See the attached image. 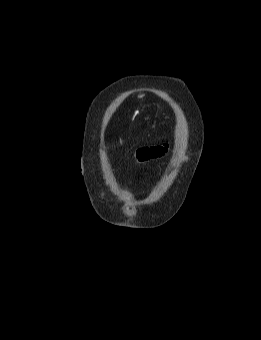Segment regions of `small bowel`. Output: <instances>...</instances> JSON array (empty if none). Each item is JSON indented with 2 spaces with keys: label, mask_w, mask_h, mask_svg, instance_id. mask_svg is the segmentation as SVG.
I'll return each instance as SVG.
<instances>
[{
  "label": "small bowel",
  "mask_w": 261,
  "mask_h": 340,
  "mask_svg": "<svg viewBox=\"0 0 261 340\" xmlns=\"http://www.w3.org/2000/svg\"><path fill=\"white\" fill-rule=\"evenodd\" d=\"M168 145H156L140 147L133 153L135 163H145L153 159H157L166 154Z\"/></svg>",
  "instance_id": "obj_1"
}]
</instances>
